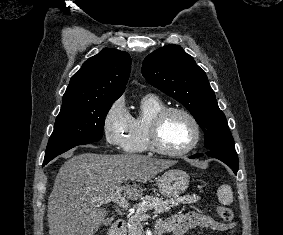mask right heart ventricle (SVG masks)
<instances>
[{
    "label": "right heart ventricle",
    "instance_id": "1",
    "mask_svg": "<svg viewBox=\"0 0 283 235\" xmlns=\"http://www.w3.org/2000/svg\"><path fill=\"white\" fill-rule=\"evenodd\" d=\"M166 104L155 95H146L140 102L138 112L130 115L129 126L123 138V149L127 153H145L150 151L148 146V127L153 117Z\"/></svg>",
    "mask_w": 283,
    "mask_h": 235
}]
</instances>
